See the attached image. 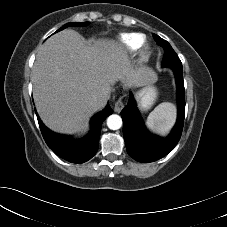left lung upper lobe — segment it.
<instances>
[{
    "label": "left lung upper lobe",
    "instance_id": "left-lung-upper-lobe-1",
    "mask_svg": "<svg viewBox=\"0 0 227 227\" xmlns=\"http://www.w3.org/2000/svg\"><path fill=\"white\" fill-rule=\"evenodd\" d=\"M153 37H154L155 41L157 42V44L159 46L163 47V49L165 51V56L163 58L162 66L170 67L174 70L182 71V63H181L178 55L176 54V52L171 47V45L166 40L162 39L161 37H159L156 34H153Z\"/></svg>",
    "mask_w": 227,
    "mask_h": 227
}]
</instances>
